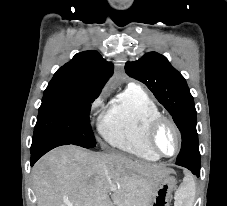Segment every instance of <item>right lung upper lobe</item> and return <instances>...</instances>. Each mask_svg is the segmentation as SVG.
<instances>
[{
    "label": "right lung upper lobe",
    "instance_id": "cb5924a9",
    "mask_svg": "<svg viewBox=\"0 0 227 206\" xmlns=\"http://www.w3.org/2000/svg\"><path fill=\"white\" fill-rule=\"evenodd\" d=\"M113 69V64L103 59L99 52H80L57 70L47 89L99 95Z\"/></svg>",
    "mask_w": 227,
    "mask_h": 206
}]
</instances>
